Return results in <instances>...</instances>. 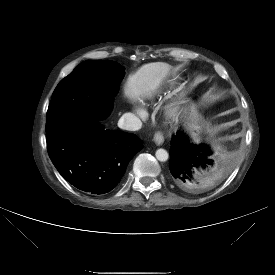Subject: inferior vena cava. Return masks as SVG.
<instances>
[{"mask_svg":"<svg viewBox=\"0 0 275 275\" xmlns=\"http://www.w3.org/2000/svg\"><path fill=\"white\" fill-rule=\"evenodd\" d=\"M141 126V120L132 113L123 114L118 121V127L124 130L137 131Z\"/></svg>","mask_w":275,"mask_h":275,"instance_id":"602c4592","label":"inferior vena cava"}]
</instances>
